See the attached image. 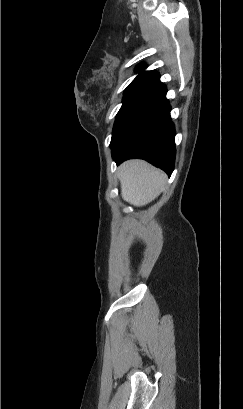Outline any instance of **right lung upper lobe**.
I'll list each match as a JSON object with an SVG mask.
<instances>
[{"mask_svg":"<svg viewBox=\"0 0 243 409\" xmlns=\"http://www.w3.org/2000/svg\"><path fill=\"white\" fill-rule=\"evenodd\" d=\"M139 75L135 79H154L159 80L160 76L156 71H144V67L139 69Z\"/></svg>","mask_w":243,"mask_h":409,"instance_id":"right-lung-upper-lobe-1","label":"right lung upper lobe"}]
</instances>
